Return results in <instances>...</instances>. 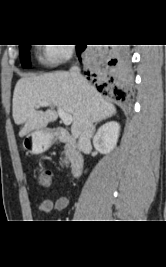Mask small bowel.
<instances>
[{"label": "small bowel", "mask_w": 166, "mask_h": 267, "mask_svg": "<svg viewBox=\"0 0 166 267\" xmlns=\"http://www.w3.org/2000/svg\"><path fill=\"white\" fill-rule=\"evenodd\" d=\"M68 205V198L60 196L55 200L45 199L42 200L38 206V210L42 213H49L51 211H63Z\"/></svg>", "instance_id": "c3829d8e"}]
</instances>
